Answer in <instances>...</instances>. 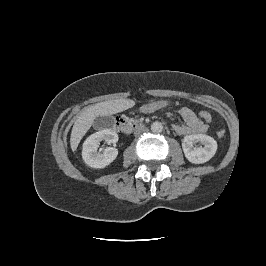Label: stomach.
<instances>
[{
  "label": "stomach",
  "instance_id": "1",
  "mask_svg": "<svg viewBox=\"0 0 266 266\" xmlns=\"http://www.w3.org/2000/svg\"><path fill=\"white\" fill-rule=\"evenodd\" d=\"M157 108H158V105H157L156 103H150V104L145 105V106L142 108V110H143L144 112L150 113V112L155 111Z\"/></svg>",
  "mask_w": 266,
  "mask_h": 266
}]
</instances>
